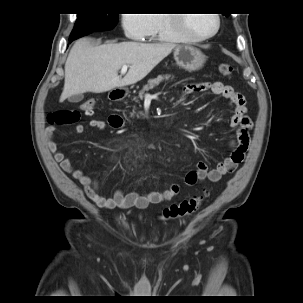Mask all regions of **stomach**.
Returning a JSON list of instances; mask_svg holds the SVG:
<instances>
[{"label":"stomach","instance_id":"obj_1","mask_svg":"<svg viewBox=\"0 0 303 303\" xmlns=\"http://www.w3.org/2000/svg\"><path fill=\"white\" fill-rule=\"evenodd\" d=\"M174 59L179 67L188 71H195L202 68L206 56L197 48L179 45L175 48Z\"/></svg>","mask_w":303,"mask_h":303}]
</instances>
